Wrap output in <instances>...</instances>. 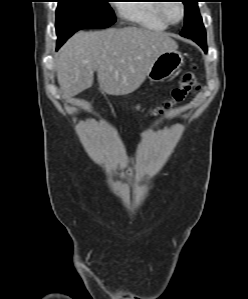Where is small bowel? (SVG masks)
<instances>
[{
	"mask_svg": "<svg viewBox=\"0 0 248 299\" xmlns=\"http://www.w3.org/2000/svg\"><path fill=\"white\" fill-rule=\"evenodd\" d=\"M155 135L153 130H146L142 133V137L145 140H150Z\"/></svg>",
	"mask_w": 248,
	"mask_h": 299,
	"instance_id": "obj_1",
	"label": "small bowel"
}]
</instances>
